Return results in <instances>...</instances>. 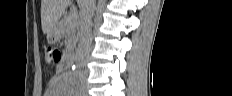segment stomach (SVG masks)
Returning a JSON list of instances; mask_svg holds the SVG:
<instances>
[{
	"instance_id": "1",
	"label": "stomach",
	"mask_w": 232,
	"mask_h": 96,
	"mask_svg": "<svg viewBox=\"0 0 232 96\" xmlns=\"http://www.w3.org/2000/svg\"><path fill=\"white\" fill-rule=\"evenodd\" d=\"M61 38L60 26L55 27L47 34V41L50 44H55Z\"/></svg>"
}]
</instances>
